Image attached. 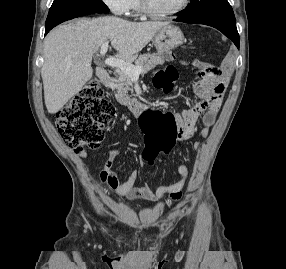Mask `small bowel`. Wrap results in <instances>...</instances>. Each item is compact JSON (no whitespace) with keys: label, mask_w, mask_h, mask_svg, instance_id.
<instances>
[{"label":"small bowel","mask_w":286,"mask_h":269,"mask_svg":"<svg viewBox=\"0 0 286 269\" xmlns=\"http://www.w3.org/2000/svg\"><path fill=\"white\" fill-rule=\"evenodd\" d=\"M182 63L187 64L186 62ZM220 71L222 74V79L219 82L222 83L220 95H211L210 93H205L195 88V92L201 98V100L181 114H173L174 121H177L176 127L181 133L180 140L187 139L194 134L200 117H202L203 126L199 131V135L202 138H206L209 135L210 129L215 124L216 118L222 106L226 83L228 82L230 75V69L228 67H226V70ZM124 91V88H115V93H124ZM120 99H130V94H120ZM198 146L199 143H196V147ZM118 153V149L111 153L99 173L100 182L103 185L114 191L117 195L129 199L159 201L168 197L174 200L179 198L181 192L185 188L186 180L189 175V170L186 165L181 164L177 167V173L180 176L178 181L170 185L159 186L156 190H152L146 185L136 186V181L138 179V171L136 169L130 171L125 181L121 182L119 180L117 172L113 167L114 160ZM81 156L86 157V153L82 152ZM145 162H147L145 155H140L139 163L144 164Z\"/></svg>","instance_id":"obj_1"}]
</instances>
